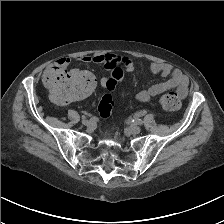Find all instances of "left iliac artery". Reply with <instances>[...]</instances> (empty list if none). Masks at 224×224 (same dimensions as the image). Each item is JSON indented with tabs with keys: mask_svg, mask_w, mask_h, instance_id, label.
<instances>
[{
	"mask_svg": "<svg viewBox=\"0 0 224 224\" xmlns=\"http://www.w3.org/2000/svg\"><path fill=\"white\" fill-rule=\"evenodd\" d=\"M134 123H136L137 125H142L143 121L141 119H135L133 120Z\"/></svg>",
	"mask_w": 224,
	"mask_h": 224,
	"instance_id": "1",
	"label": "left iliac artery"
}]
</instances>
